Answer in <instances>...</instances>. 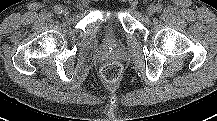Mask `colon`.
Wrapping results in <instances>:
<instances>
[{"mask_svg":"<svg viewBox=\"0 0 217 121\" xmlns=\"http://www.w3.org/2000/svg\"><path fill=\"white\" fill-rule=\"evenodd\" d=\"M122 65L116 61L106 62L100 69L103 80L107 83L118 81L122 76Z\"/></svg>","mask_w":217,"mask_h":121,"instance_id":"obj_1","label":"colon"}]
</instances>
